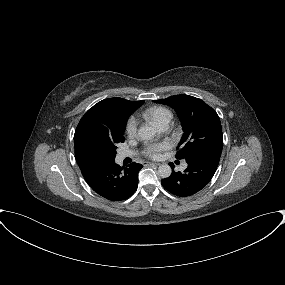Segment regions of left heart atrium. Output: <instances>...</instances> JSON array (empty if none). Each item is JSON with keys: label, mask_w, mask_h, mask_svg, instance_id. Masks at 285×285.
<instances>
[{"label": "left heart atrium", "mask_w": 285, "mask_h": 285, "mask_svg": "<svg viewBox=\"0 0 285 285\" xmlns=\"http://www.w3.org/2000/svg\"><path fill=\"white\" fill-rule=\"evenodd\" d=\"M167 148V145L164 143L161 144H151L148 145L145 151L146 156L151 158H157L160 153Z\"/></svg>", "instance_id": "39dd6f15"}]
</instances>
